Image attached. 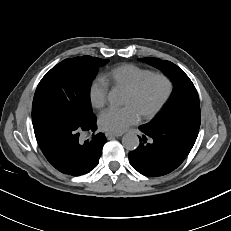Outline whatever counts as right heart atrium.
Segmentation results:
<instances>
[{"label":"right heart atrium","mask_w":231,"mask_h":231,"mask_svg":"<svg viewBox=\"0 0 231 231\" xmlns=\"http://www.w3.org/2000/svg\"><path fill=\"white\" fill-rule=\"evenodd\" d=\"M109 86L105 79L97 78L89 88L91 105L96 109H102L108 100Z\"/></svg>","instance_id":"right-heart-atrium-1"}]
</instances>
